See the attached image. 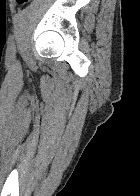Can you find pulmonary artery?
<instances>
[{"instance_id":"e3ab8cb5","label":"pulmonary artery","mask_w":140,"mask_h":196,"mask_svg":"<svg viewBox=\"0 0 140 196\" xmlns=\"http://www.w3.org/2000/svg\"><path fill=\"white\" fill-rule=\"evenodd\" d=\"M39 192H51V191H39Z\"/></svg>"}]
</instances>
